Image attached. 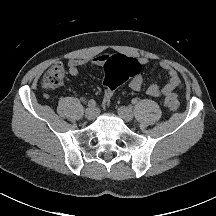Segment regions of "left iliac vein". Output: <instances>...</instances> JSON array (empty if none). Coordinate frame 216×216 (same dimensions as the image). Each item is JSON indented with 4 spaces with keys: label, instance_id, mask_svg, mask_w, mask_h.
<instances>
[{
    "label": "left iliac vein",
    "instance_id": "obj_1",
    "mask_svg": "<svg viewBox=\"0 0 216 216\" xmlns=\"http://www.w3.org/2000/svg\"><path fill=\"white\" fill-rule=\"evenodd\" d=\"M118 114L126 122L132 121L134 117L132 110L125 106L118 108Z\"/></svg>",
    "mask_w": 216,
    "mask_h": 216
}]
</instances>
